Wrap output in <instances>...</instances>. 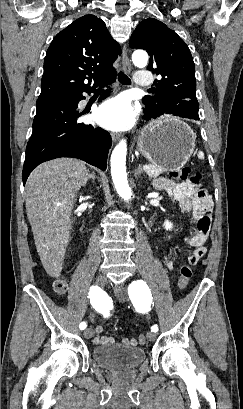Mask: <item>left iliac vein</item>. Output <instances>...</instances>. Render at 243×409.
Instances as JSON below:
<instances>
[{
    "label": "left iliac vein",
    "mask_w": 243,
    "mask_h": 409,
    "mask_svg": "<svg viewBox=\"0 0 243 409\" xmlns=\"http://www.w3.org/2000/svg\"><path fill=\"white\" fill-rule=\"evenodd\" d=\"M115 295L117 299L121 302H125L127 300V292L126 288L123 285H118L114 287ZM147 339L149 341H154L156 338V333L153 331H150L146 334Z\"/></svg>",
    "instance_id": "4c4485c4"
}]
</instances>
